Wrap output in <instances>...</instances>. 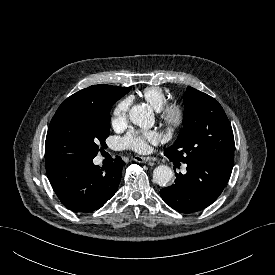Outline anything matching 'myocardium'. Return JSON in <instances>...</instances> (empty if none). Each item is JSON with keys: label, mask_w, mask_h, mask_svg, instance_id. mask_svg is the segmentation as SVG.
I'll return each instance as SVG.
<instances>
[{"label": "myocardium", "mask_w": 275, "mask_h": 275, "mask_svg": "<svg viewBox=\"0 0 275 275\" xmlns=\"http://www.w3.org/2000/svg\"><path fill=\"white\" fill-rule=\"evenodd\" d=\"M187 115L186 106L179 101L167 102L158 110L160 121L172 130L182 128L187 121Z\"/></svg>", "instance_id": "obj_1"}]
</instances>
